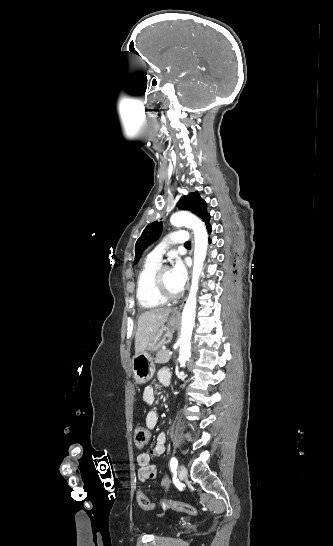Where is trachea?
I'll list each match as a JSON object with an SVG mask.
<instances>
[{
	"label": "trachea",
	"instance_id": "obj_1",
	"mask_svg": "<svg viewBox=\"0 0 333 546\" xmlns=\"http://www.w3.org/2000/svg\"><path fill=\"white\" fill-rule=\"evenodd\" d=\"M185 246H186V247H191V242H190V241L186 242V243H185Z\"/></svg>",
	"mask_w": 333,
	"mask_h": 546
}]
</instances>
